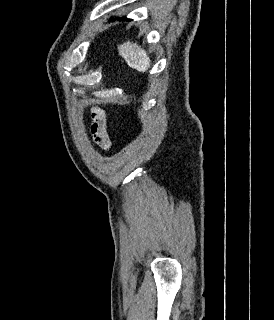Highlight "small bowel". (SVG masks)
<instances>
[{"mask_svg":"<svg viewBox=\"0 0 274 320\" xmlns=\"http://www.w3.org/2000/svg\"><path fill=\"white\" fill-rule=\"evenodd\" d=\"M89 129L95 144L103 149L111 147V140L106 131V117L101 108L92 107Z\"/></svg>","mask_w":274,"mask_h":320,"instance_id":"1","label":"small bowel"}]
</instances>
